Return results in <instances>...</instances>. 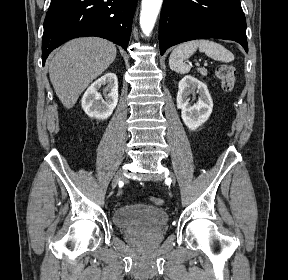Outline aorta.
I'll list each match as a JSON object with an SVG mask.
<instances>
[{
    "mask_svg": "<svg viewBox=\"0 0 288 280\" xmlns=\"http://www.w3.org/2000/svg\"><path fill=\"white\" fill-rule=\"evenodd\" d=\"M163 0H142L140 27L146 36L151 33Z\"/></svg>",
    "mask_w": 288,
    "mask_h": 280,
    "instance_id": "1",
    "label": "aorta"
}]
</instances>
